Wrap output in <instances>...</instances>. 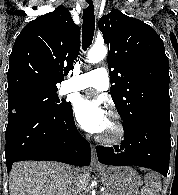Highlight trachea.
<instances>
[{
	"label": "trachea",
	"mask_w": 178,
	"mask_h": 195,
	"mask_svg": "<svg viewBox=\"0 0 178 195\" xmlns=\"http://www.w3.org/2000/svg\"><path fill=\"white\" fill-rule=\"evenodd\" d=\"M87 7L83 10L82 46L86 51L91 45L95 30V15L92 0H86Z\"/></svg>",
	"instance_id": "trachea-1"
}]
</instances>
